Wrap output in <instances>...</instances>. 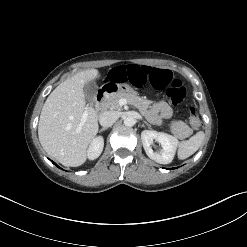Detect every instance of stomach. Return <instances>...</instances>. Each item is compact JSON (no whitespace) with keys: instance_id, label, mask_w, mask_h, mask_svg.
I'll list each match as a JSON object with an SVG mask.
<instances>
[{"instance_id":"stomach-1","label":"stomach","mask_w":247,"mask_h":247,"mask_svg":"<svg viewBox=\"0 0 247 247\" xmlns=\"http://www.w3.org/2000/svg\"><path fill=\"white\" fill-rule=\"evenodd\" d=\"M121 91L122 92H125V93H136L133 88H131L130 86H123L121 88Z\"/></svg>"}]
</instances>
